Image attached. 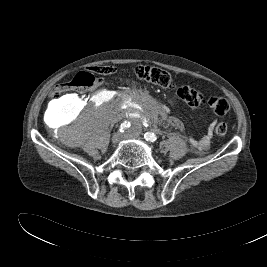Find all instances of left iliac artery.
<instances>
[{
    "label": "left iliac artery",
    "mask_w": 267,
    "mask_h": 267,
    "mask_svg": "<svg viewBox=\"0 0 267 267\" xmlns=\"http://www.w3.org/2000/svg\"><path fill=\"white\" fill-rule=\"evenodd\" d=\"M144 138L146 141H149V142H155L157 140V136L151 132H146L144 134Z\"/></svg>",
    "instance_id": "1"
}]
</instances>
